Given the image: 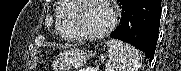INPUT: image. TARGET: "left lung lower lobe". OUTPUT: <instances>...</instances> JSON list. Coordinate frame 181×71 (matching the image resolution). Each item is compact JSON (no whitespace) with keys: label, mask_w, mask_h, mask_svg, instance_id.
<instances>
[{"label":"left lung lower lobe","mask_w":181,"mask_h":71,"mask_svg":"<svg viewBox=\"0 0 181 71\" xmlns=\"http://www.w3.org/2000/svg\"><path fill=\"white\" fill-rule=\"evenodd\" d=\"M121 24L111 37L142 50L152 61L161 17V0H121Z\"/></svg>","instance_id":"left-lung-lower-lobe-1"}]
</instances>
